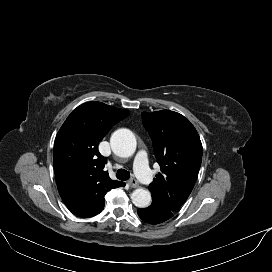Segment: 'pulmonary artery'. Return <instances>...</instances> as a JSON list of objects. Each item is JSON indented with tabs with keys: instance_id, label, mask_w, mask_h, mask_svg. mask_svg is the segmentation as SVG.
I'll list each match as a JSON object with an SVG mask.
<instances>
[{
	"instance_id": "e3ab8cb5",
	"label": "pulmonary artery",
	"mask_w": 272,
	"mask_h": 272,
	"mask_svg": "<svg viewBox=\"0 0 272 272\" xmlns=\"http://www.w3.org/2000/svg\"><path fill=\"white\" fill-rule=\"evenodd\" d=\"M135 171L138 178L145 184L152 181V177L147 164V155L144 150H140L134 160Z\"/></svg>"
}]
</instances>
